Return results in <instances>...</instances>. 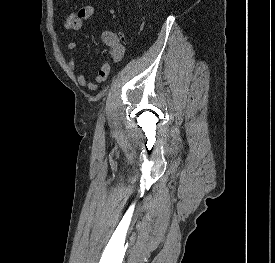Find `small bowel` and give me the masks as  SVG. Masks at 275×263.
Listing matches in <instances>:
<instances>
[{"label": "small bowel", "mask_w": 275, "mask_h": 263, "mask_svg": "<svg viewBox=\"0 0 275 263\" xmlns=\"http://www.w3.org/2000/svg\"><path fill=\"white\" fill-rule=\"evenodd\" d=\"M96 10L97 8L95 6L86 5L79 7L67 16L64 27L70 33L71 37L66 45L68 50H75L78 48L79 44L74 36V32L79 31L82 28L84 21L91 18ZM101 39L108 47L111 58L115 62L121 61L125 53L123 40L117 34L110 31L102 32ZM68 68L71 72H75L76 60L74 57L69 58ZM110 70V64L105 61L101 64L93 80H88L82 73H78L76 79L79 85L87 87L90 90H95L98 83H102L107 79Z\"/></svg>", "instance_id": "1"}]
</instances>
